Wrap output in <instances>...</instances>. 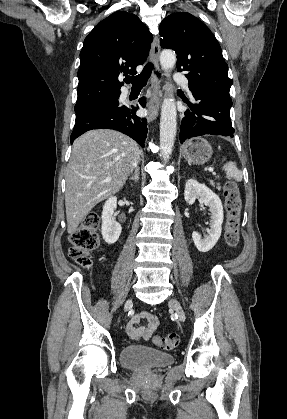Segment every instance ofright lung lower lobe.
<instances>
[{
	"label": "right lung lower lobe",
	"mask_w": 287,
	"mask_h": 419,
	"mask_svg": "<svg viewBox=\"0 0 287 419\" xmlns=\"http://www.w3.org/2000/svg\"><path fill=\"white\" fill-rule=\"evenodd\" d=\"M142 107L146 105L144 97L139 99ZM137 106H125L119 103L91 111L76 119L71 143L81 134L92 129H113L120 131L144 147L147 137V120L136 116Z\"/></svg>",
	"instance_id": "right-lung-lower-lobe-1"
}]
</instances>
